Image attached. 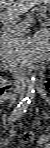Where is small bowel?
<instances>
[{"mask_svg": "<svg viewBox=\"0 0 50 148\" xmlns=\"http://www.w3.org/2000/svg\"><path fill=\"white\" fill-rule=\"evenodd\" d=\"M38 144L42 148H50V144H49L48 138L46 136L40 137V139L38 140Z\"/></svg>", "mask_w": 50, "mask_h": 148, "instance_id": "small-bowel-1", "label": "small bowel"}]
</instances>
